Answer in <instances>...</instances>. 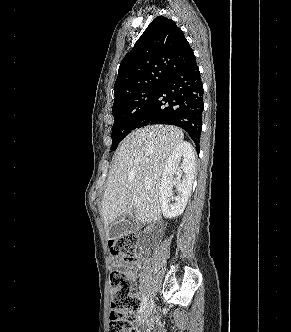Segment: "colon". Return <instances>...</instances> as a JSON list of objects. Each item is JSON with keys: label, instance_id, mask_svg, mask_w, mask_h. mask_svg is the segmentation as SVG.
Instances as JSON below:
<instances>
[{"label": "colon", "instance_id": "obj_1", "mask_svg": "<svg viewBox=\"0 0 291 332\" xmlns=\"http://www.w3.org/2000/svg\"><path fill=\"white\" fill-rule=\"evenodd\" d=\"M137 241L135 233H127L111 239L109 248L113 255L120 256L126 263L136 264L140 259ZM110 281L113 295L109 332H137L132 323L140 303L132 289V275L126 271H114Z\"/></svg>", "mask_w": 291, "mask_h": 332}]
</instances>
